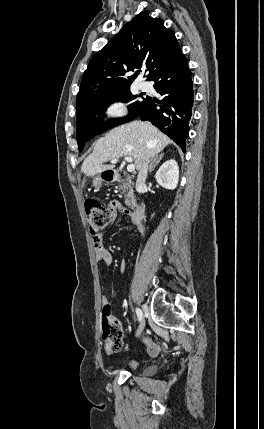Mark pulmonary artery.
I'll list each match as a JSON object with an SVG mask.
<instances>
[{"mask_svg": "<svg viewBox=\"0 0 264 429\" xmlns=\"http://www.w3.org/2000/svg\"><path fill=\"white\" fill-rule=\"evenodd\" d=\"M139 88H140L141 90H147V89L149 88V84H148L146 81H141V82L139 83Z\"/></svg>", "mask_w": 264, "mask_h": 429, "instance_id": "e3ab8cb5", "label": "pulmonary artery"}]
</instances>
